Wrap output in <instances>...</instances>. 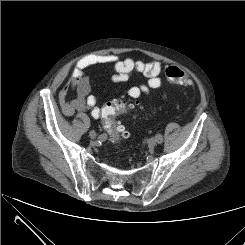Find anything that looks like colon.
I'll use <instances>...</instances> for the list:
<instances>
[{"mask_svg":"<svg viewBox=\"0 0 245 245\" xmlns=\"http://www.w3.org/2000/svg\"><path fill=\"white\" fill-rule=\"evenodd\" d=\"M167 79L175 84L189 85L190 79L187 74L176 66H170L166 69ZM131 103L126 99H115L108 102L102 109V119L105 129L111 135L114 142H120L128 138L129 133L125 127L116 121V116L124 113L131 108Z\"/></svg>","mask_w":245,"mask_h":245,"instance_id":"obj_1","label":"colon"}]
</instances>
